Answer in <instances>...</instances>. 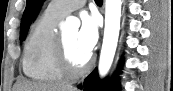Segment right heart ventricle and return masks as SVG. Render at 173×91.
Segmentation results:
<instances>
[{"mask_svg":"<svg viewBox=\"0 0 173 91\" xmlns=\"http://www.w3.org/2000/svg\"><path fill=\"white\" fill-rule=\"evenodd\" d=\"M63 17L46 10L32 26L22 59L24 74L34 81L59 83L65 75L56 63L57 24Z\"/></svg>","mask_w":173,"mask_h":91,"instance_id":"1","label":"right heart ventricle"}]
</instances>
